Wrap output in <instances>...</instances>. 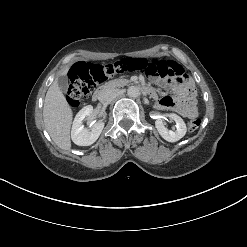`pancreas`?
<instances>
[{
    "label": "pancreas",
    "instance_id": "cf45deb5",
    "mask_svg": "<svg viewBox=\"0 0 247 247\" xmlns=\"http://www.w3.org/2000/svg\"><path fill=\"white\" fill-rule=\"evenodd\" d=\"M127 83H129V80H115V81H111L110 85L114 86V87H119V86H123L126 85Z\"/></svg>",
    "mask_w": 247,
    "mask_h": 247
}]
</instances>
